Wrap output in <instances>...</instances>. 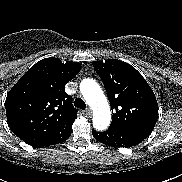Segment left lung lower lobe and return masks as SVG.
<instances>
[{"label":"left lung lower lobe","instance_id":"1","mask_svg":"<svg viewBox=\"0 0 182 182\" xmlns=\"http://www.w3.org/2000/svg\"><path fill=\"white\" fill-rule=\"evenodd\" d=\"M92 134L97 141L105 145L123 148L136 146L148 137L144 134L115 127H109L108 130L103 132L93 129Z\"/></svg>","mask_w":182,"mask_h":182}]
</instances>
